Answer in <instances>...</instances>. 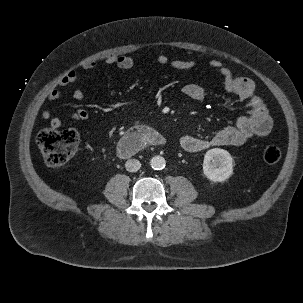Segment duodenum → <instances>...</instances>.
Masks as SVG:
<instances>
[{
    "label": "duodenum",
    "instance_id": "1",
    "mask_svg": "<svg viewBox=\"0 0 303 303\" xmlns=\"http://www.w3.org/2000/svg\"><path fill=\"white\" fill-rule=\"evenodd\" d=\"M165 143L166 139L156 130L141 126L127 132L119 142L117 151L120 156L128 158L148 145L163 146Z\"/></svg>",
    "mask_w": 303,
    "mask_h": 303
}]
</instances>
